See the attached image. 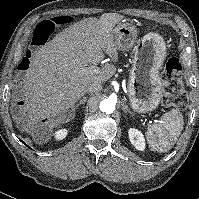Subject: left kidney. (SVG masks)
Wrapping results in <instances>:
<instances>
[{
    "label": "left kidney",
    "mask_w": 199,
    "mask_h": 199,
    "mask_svg": "<svg viewBox=\"0 0 199 199\" xmlns=\"http://www.w3.org/2000/svg\"><path fill=\"white\" fill-rule=\"evenodd\" d=\"M130 142L135 146L139 151H144L145 149V139L141 131L130 128L128 131Z\"/></svg>",
    "instance_id": "left-kidney-1"
}]
</instances>
